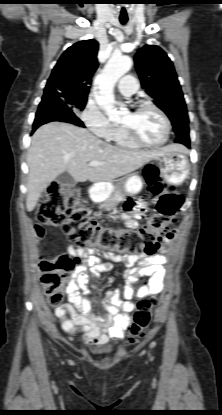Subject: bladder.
Returning a JSON list of instances; mask_svg holds the SVG:
<instances>
[{
  "instance_id": "obj_1",
  "label": "bladder",
  "mask_w": 222,
  "mask_h": 415,
  "mask_svg": "<svg viewBox=\"0 0 222 415\" xmlns=\"http://www.w3.org/2000/svg\"><path fill=\"white\" fill-rule=\"evenodd\" d=\"M96 354L109 355L114 352L113 346H105L94 350Z\"/></svg>"
}]
</instances>
